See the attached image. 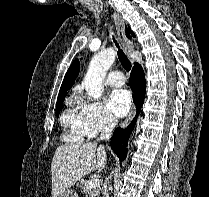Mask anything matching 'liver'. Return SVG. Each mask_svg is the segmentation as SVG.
<instances>
[{"instance_id": "obj_1", "label": "liver", "mask_w": 209, "mask_h": 197, "mask_svg": "<svg viewBox=\"0 0 209 197\" xmlns=\"http://www.w3.org/2000/svg\"><path fill=\"white\" fill-rule=\"evenodd\" d=\"M104 146L96 142L59 146L51 162L52 197H59L83 176L106 166Z\"/></svg>"}]
</instances>
